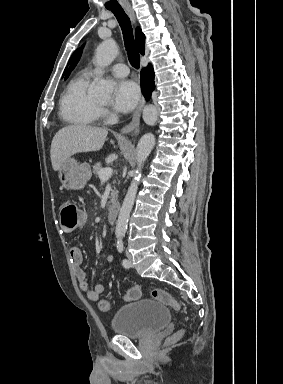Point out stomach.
Returning <instances> with one entry per match:
<instances>
[{"label": "stomach", "instance_id": "1", "mask_svg": "<svg viewBox=\"0 0 283 384\" xmlns=\"http://www.w3.org/2000/svg\"><path fill=\"white\" fill-rule=\"evenodd\" d=\"M59 180L66 190H82L91 178L89 164H79L74 158H67L59 172Z\"/></svg>", "mask_w": 283, "mask_h": 384}]
</instances>
